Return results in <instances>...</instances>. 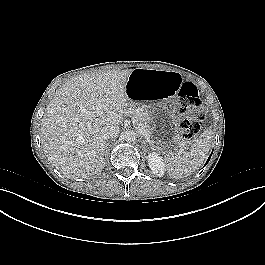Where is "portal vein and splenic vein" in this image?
Instances as JSON below:
<instances>
[{
	"instance_id": "portal-vein-and-splenic-vein-1",
	"label": "portal vein and splenic vein",
	"mask_w": 265,
	"mask_h": 265,
	"mask_svg": "<svg viewBox=\"0 0 265 265\" xmlns=\"http://www.w3.org/2000/svg\"><path fill=\"white\" fill-rule=\"evenodd\" d=\"M98 107H99V106H98ZM99 110H100V109L97 108V111H98V112H99ZM138 128L141 130V132H142L143 135H145V136L148 135L146 132L143 131V129H142L140 126H138ZM182 151H183V150H180V153H181Z\"/></svg>"
}]
</instances>
